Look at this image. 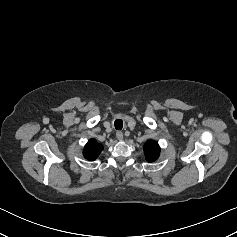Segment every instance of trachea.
Instances as JSON below:
<instances>
[{"mask_svg": "<svg viewBox=\"0 0 237 237\" xmlns=\"http://www.w3.org/2000/svg\"><path fill=\"white\" fill-rule=\"evenodd\" d=\"M114 126L117 130H121L123 127V121L120 119L115 120Z\"/></svg>", "mask_w": 237, "mask_h": 237, "instance_id": "trachea-1", "label": "trachea"}]
</instances>
